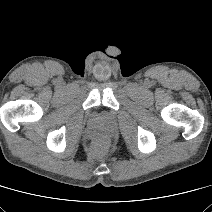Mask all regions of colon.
Masks as SVG:
<instances>
[{"instance_id": "5ec220e1", "label": "colon", "mask_w": 212, "mask_h": 212, "mask_svg": "<svg viewBox=\"0 0 212 212\" xmlns=\"http://www.w3.org/2000/svg\"><path fill=\"white\" fill-rule=\"evenodd\" d=\"M105 144H106L105 136L99 135L94 142V148L95 150L100 151L104 148Z\"/></svg>"}]
</instances>
